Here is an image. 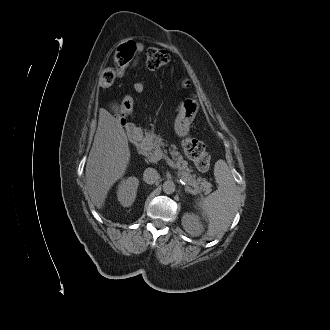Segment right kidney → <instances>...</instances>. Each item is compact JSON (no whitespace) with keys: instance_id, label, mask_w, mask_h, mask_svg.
I'll use <instances>...</instances> for the list:
<instances>
[{"instance_id":"1","label":"right kidney","mask_w":330,"mask_h":330,"mask_svg":"<svg viewBox=\"0 0 330 330\" xmlns=\"http://www.w3.org/2000/svg\"><path fill=\"white\" fill-rule=\"evenodd\" d=\"M138 186L139 180L136 177H128L120 181L118 184L117 197L122 206L129 207L133 204Z\"/></svg>"}]
</instances>
